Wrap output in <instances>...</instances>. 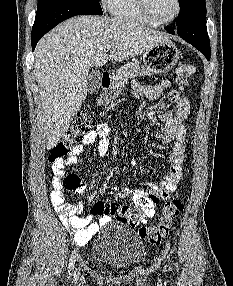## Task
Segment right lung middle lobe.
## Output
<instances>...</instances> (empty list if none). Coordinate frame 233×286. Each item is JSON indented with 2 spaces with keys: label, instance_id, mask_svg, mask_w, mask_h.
<instances>
[{
  "label": "right lung middle lobe",
  "instance_id": "obj_1",
  "mask_svg": "<svg viewBox=\"0 0 233 286\" xmlns=\"http://www.w3.org/2000/svg\"><path fill=\"white\" fill-rule=\"evenodd\" d=\"M58 2L73 3L79 7L90 10L96 15L103 14L99 0H38L36 15L42 14L46 9Z\"/></svg>",
  "mask_w": 233,
  "mask_h": 286
}]
</instances>
